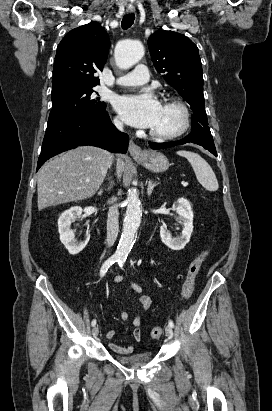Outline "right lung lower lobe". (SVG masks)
I'll return each instance as SVG.
<instances>
[{
  "mask_svg": "<svg viewBox=\"0 0 272 411\" xmlns=\"http://www.w3.org/2000/svg\"><path fill=\"white\" fill-rule=\"evenodd\" d=\"M129 137L111 123L108 112L82 113L48 124L37 170L51 157L82 145L126 153Z\"/></svg>",
  "mask_w": 272,
  "mask_h": 411,
  "instance_id": "1",
  "label": "right lung lower lobe"
}]
</instances>
